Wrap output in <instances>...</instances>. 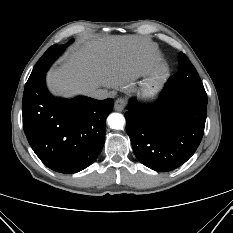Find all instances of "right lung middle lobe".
<instances>
[{"label": "right lung middle lobe", "instance_id": "obj_1", "mask_svg": "<svg viewBox=\"0 0 233 233\" xmlns=\"http://www.w3.org/2000/svg\"><path fill=\"white\" fill-rule=\"evenodd\" d=\"M73 40L70 41V43ZM61 48L58 45L51 46L39 59L37 64L35 65L27 83L30 84L34 82L37 78H39L41 75L45 74L47 69L50 67V65L54 62V60L57 58L59 53L61 52Z\"/></svg>", "mask_w": 233, "mask_h": 233}]
</instances>
